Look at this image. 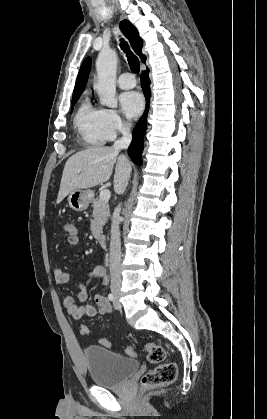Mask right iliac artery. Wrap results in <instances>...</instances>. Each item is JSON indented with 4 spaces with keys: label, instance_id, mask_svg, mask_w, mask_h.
<instances>
[{
    "label": "right iliac artery",
    "instance_id": "1",
    "mask_svg": "<svg viewBox=\"0 0 267 419\" xmlns=\"http://www.w3.org/2000/svg\"><path fill=\"white\" fill-rule=\"evenodd\" d=\"M108 299H109L110 301H113V300H114V295H113L112 293H110V294L108 295Z\"/></svg>",
    "mask_w": 267,
    "mask_h": 419
}]
</instances>
